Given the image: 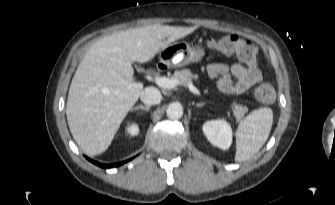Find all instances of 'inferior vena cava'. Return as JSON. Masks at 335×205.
<instances>
[{
	"instance_id": "602c4592",
	"label": "inferior vena cava",
	"mask_w": 335,
	"mask_h": 205,
	"mask_svg": "<svg viewBox=\"0 0 335 205\" xmlns=\"http://www.w3.org/2000/svg\"><path fill=\"white\" fill-rule=\"evenodd\" d=\"M141 101L148 105H156L159 104L162 100V95L157 88L147 87L140 94Z\"/></svg>"
}]
</instances>
